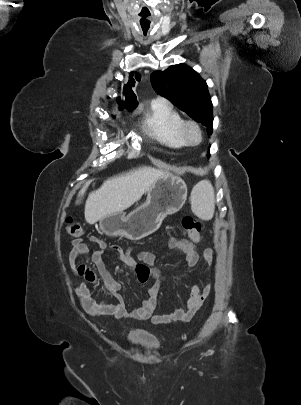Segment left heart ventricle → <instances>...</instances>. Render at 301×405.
<instances>
[{
  "label": "left heart ventricle",
  "instance_id": "obj_1",
  "mask_svg": "<svg viewBox=\"0 0 301 405\" xmlns=\"http://www.w3.org/2000/svg\"><path fill=\"white\" fill-rule=\"evenodd\" d=\"M191 137L193 139H197V134L194 131H191Z\"/></svg>",
  "mask_w": 301,
  "mask_h": 405
}]
</instances>
